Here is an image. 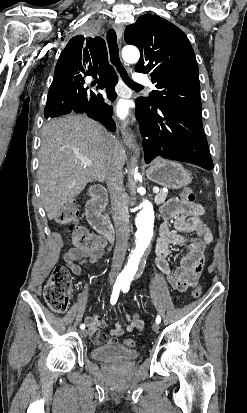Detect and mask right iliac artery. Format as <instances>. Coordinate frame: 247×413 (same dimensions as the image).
Wrapping results in <instances>:
<instances>
[{
  "instance_id": "obj_1",
  "label": "right iliac artery",
  "mask_w": 247,
  "mask_h": 413,
  "mask_svg": "<svg viewBox=\"0 0 247 413\" xmlns=\"http://www.w3.org/2000/svg\"><path fill=\"white\" fill-rule=\"evenodd\" d=\"M121 287L122 286H119V285H116V284L113 286V291H112V295H111V299H110V302H111L112 305H114L117 302ZM80 328L82 330L85 329V325L81 324Z\"/></svg>"
}]
</instances>
